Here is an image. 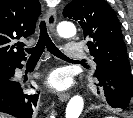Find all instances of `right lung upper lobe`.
I'll list each match as a JSON object with an SVG mask.
<instances>
[{
    "label": "right lung upper lobe",
    "instance_id": "cb5924a9",
    "mask_svg": "<svg viewBox=\"0 0 133 118\" xmlns=\"http://www.w3.org/2000/svg\"><path fill=\"white\" fill-rule=\"evenodd\" d=\"M40 10L38 0H0V67L26 59L24 44L16 40L34 33Z\"/></svg>",
    "mask_w": 133,
    "mask_h": 118
}]
</instances>
